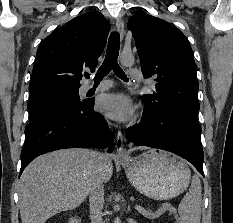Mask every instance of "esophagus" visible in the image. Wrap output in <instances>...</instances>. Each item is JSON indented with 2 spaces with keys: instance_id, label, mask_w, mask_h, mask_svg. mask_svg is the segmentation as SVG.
<instances>
[{
  "instance_id": "1",
  "label": "esophagus",
  "mask_w": 233,
  "mask_h": 223,
  "mask_svg": "<svg viewBox=\"0 0 233 223\" xmlns=\"http://www.w3.org/2000/svg\"><path fill=\"white\" fill-rule=\"evenodd\" d=\"M116 29L120 35V40H122L124 38V21L122 20L121 17H118L116 19ZM116 153H117V157L120 159H125L129 157L126 149L124 148L123 135L120 130L117 132V136H116Z\"/></svg>"
}]
</instances>
